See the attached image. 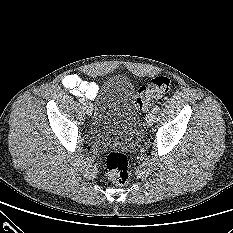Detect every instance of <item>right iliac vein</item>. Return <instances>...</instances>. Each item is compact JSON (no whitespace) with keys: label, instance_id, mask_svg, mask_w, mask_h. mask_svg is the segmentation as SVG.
<instances>
[{"label":"right iliac vein","instance_id":"right-iliac-vein-1","mask_svg":"<svg viewBox=\"0 0 233 233\" xmlns=\"http://www.w3.org/2000/svg\"><path fill=\"white\" fill-rule=\"evenodd\" d=\"M83 107H84L86 114L91 115V113H92L91 105L89 103H84Z\"/></svg>","mask_w":233,"mask_h":233}]
</instances>
